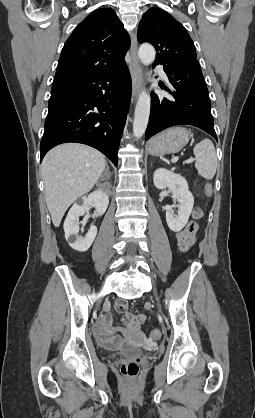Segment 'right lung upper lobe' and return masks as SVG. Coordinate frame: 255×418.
<instances>
[{
  "label": "right lung upper lobe",
  "instance_id": "right-lung-upper-lobe-1",
  "mask_svg": "<svg viewBox=\"0 0 255 418\" xmlns=\"http://www.w3.org/2000/svg\"><path fill=\"white\" fill-rule=\"evenodd\" d=\"M130 38L111 8L90 13L62 49L54 81L110 72L125 65Z\"/></svg>",
  "mask_w": 255,
  "mask_h": 418
}]
</instances>
